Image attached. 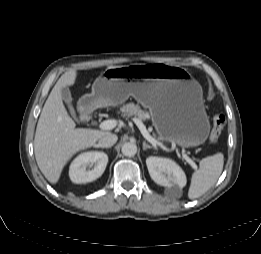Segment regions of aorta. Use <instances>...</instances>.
I'll return each mask as SVG.
<instances>
[{
    "mask_svg": "<svg viewBox=\"0 0 261 254\" xmlns=\"http://www.w3.org/2000/svg\"><path fill=\"white\" fill-rule=\"evenodd\" d=\"M122 154L127 157H133L137 153V146L135 143L127 142L122 145Z\"/></svg>",
    "mask_w": 261,
    "mask_h": 254,
    "instance_id": "aorta-1",
    "label": "aorta"
}]
</instances>
